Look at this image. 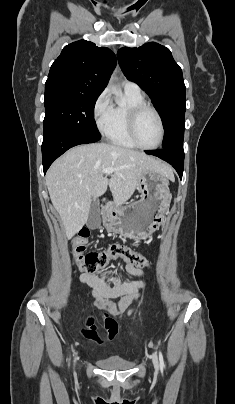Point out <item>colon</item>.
<instances>
[{
    "label": "colon",
    "mask_w": 235,
    "mask_h": 404,
    "mask_svg": "<svg viewBox=\"0 0 235 404\" xmlns=\"http://www.w3.org/2000/svg\"><path fill=\"white\" fill-rule=\"evenodd\" d=\"M90 232L88 229H81L72 240V256L76 265L93 274L98 270L104 269L112 260L122 259L127 264L134 265L139 268L149 267L150 262L140 253L135 252L130 247L118 243L110 244L106 249L87 251L86 244ZM114 322L110 318H105L103 325L109 337H112L115 331L111 328ZM98 323L95 317L87 319V327L90 330H96Z\"/></svg>",
    "instance_id": "5ec220e1"
}]
</instances>
